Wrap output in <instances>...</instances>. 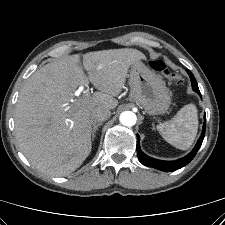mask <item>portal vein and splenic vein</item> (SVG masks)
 <instances>
[{
	"label": "portal vein and splenic vein",
	"mask_w": 225,
	"mask_h": 225,
	"mask_svg": "<svg viewBox=\"0 0 225 225\" xmlns=\"http://www.w3.org/2000/svg\"><path fill=\"white\" fill-rule=\"evenodd\" d=\"M80 92H81V89H78V90L76 91V95H79ZM84 100H85V101H88V100H89V94H88V93H86V94L84 95Z\"/></svg>",
	"instance_id": "18ae733b"
}]
</instances>
